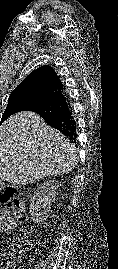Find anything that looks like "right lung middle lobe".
I'll return each instance as SVG.
<instances>
[{"mask_svg":"<svg viewBox=\"0 0 118 269\" xmlns=\"http://www.w3.org/2000/svg\"><path fill=\"white\" fill-rule=\"evenodd\" d=\"M25 104L21 101L20 96H12L10 95L8 99V105L3 113L2 121L11 116L14 113L24 111Z\"/></svg>","mask_w":118,"mask_h":269,"instance_id":"1","label":"right lung middle lobe"}]
</instances>
